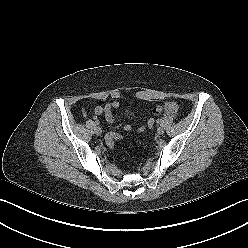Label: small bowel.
I'll use <instances>...</instances> for the list:
<instances>
[{"instance_id": "small-bowel-1", "label": "small bowel", "mask_w": 248, "mask_h": 248, "mask_svg": "<svg viewBox=\"0 0 248 248\" xmlns=\"http://www.w3.org/2000/svg\"><path fill=\"white\" fill-rule=\"evenodd\" d=\"M116 107H118L117 102L105 104L104 106L103 105H97L94 108V112L96 115H102L103 114L105 116L106 121L108 123H112L113 119H114L112 110ZM176 110H177V105L175 103H167L165 105H157V106H154L152 108V112L155 115H161L163 113L174 114L176 112ZM128 113L132 116L135 115V112L132 110H129ZM124 129L126 131H136L138 133H141L145 130V127L139 126V127L134 128L132 125L126 124L124 126Z\"/></svg>"}]
</instances>
